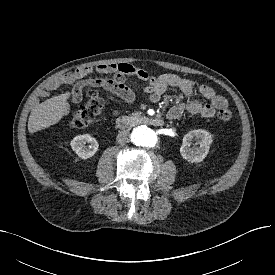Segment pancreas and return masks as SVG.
Instances as JSON below:
<instances>
[{
	"instance_id": "obj_1",
	"label": "pancreas",
	"mask_w": 275,
	"mask_h": 275,
	"mask_svg": "<svg viewBox=\"0 0 275 275\" xmlns=\"http://www.w3.org/2000/svg\"><path fill=\"white\" fill-rule=\"evenodd\" d=\"M136 114H137V113H134V114H132V115L134 116V115H136Z\"/></svg>"
}]
</instances>
